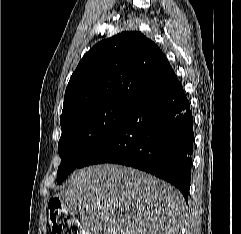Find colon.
Instances as JSON below:
<instances>
[{"mask_svg":"<svg viewBox=\"0 0 241 234\" xmlns=\"http://www.w3.org/2000/svg\"><path fill=\"white\" fill-rule=\"evenodd\" d=\"M49 219L54 234H83L79 222L62 206L58 198L50 200Z\"/></svg>","mask_w":241,"mask_h":234,"instance_id":"5ec220e1","label":"colon"}]
</instances>
